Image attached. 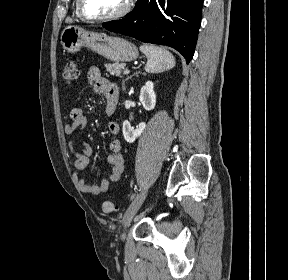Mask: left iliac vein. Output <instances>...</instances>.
Masks as SVG:
<instances>
[{"label":"left iliac vein","instance_id":"1","mask_svg":"<svg viewBox=\"0 0 288 280\" xmlns=\"http://www.w3.org/2000/svg\"><path fill=\"white\" fill-rule=\"evenodd\" d=\"M147 195V188H144L141 192L138 198H136L135 203H130L129 207L127 208L124 218H123V225H122V233H121V239L124 240L126 238V230L129 227L132 219L138 212L139 208L141 207L142 203L144 202Z\"/></svg>","mask_w":288,"mask_h":280}]
</instances>
